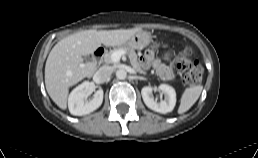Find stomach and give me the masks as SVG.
Instances as JSON below:
<instances>
[{"label":"stomach","mask_w":258,"mask_h":158,"mask_svg":"<svg viewBox=\"0 0 258 158\" xmlns=\"http://www.w3.org/2000/svg\"><path fill=\"white\" fill-rule=\"evenodd\" d=\"M151 42V35L146 31H139L134 34L126 43L118 47H130L133 49H143Z\"/></svg>","instance_id":"0dacf381"}]
</instances>
